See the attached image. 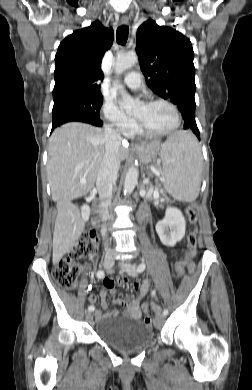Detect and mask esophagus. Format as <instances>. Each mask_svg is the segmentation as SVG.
I'll return each instance as SVG.
<instances>
[{
  "label": "esophagus",
  "mask_w": 252,
  "mask_h": 390,
  "mask_svg": "<svg viewBox=\"0 0 252 390\" xmlns=\"http://www.w3.org/2000/svg\"><path fill=\"white\" fill-rule=\"evenodd\" d=\"M128 22H129V19H128L127 16H122V17H121V23H122V24H128Z\"/></svg>",
  "instance_id": "1"
}]
</instances>
